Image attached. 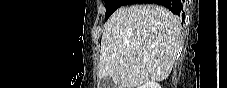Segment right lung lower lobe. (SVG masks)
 I'll use <instances>...</instances> for the list:
<instances>
[{"label": "right lung lower lobe", "instance_id": "98d812e1", "mask_svg": "<svg viewBox=\"0 0 227 88\" xmlns=\"http://www.w3.org/2000/svg\"><path fill=\"white\" fill-rule=\"evenodd\" d=\"M183 2L184 0H131V3H155L163 5L173 14H182V18L184 19Z\"/></svg>", "mask_w": 227, "mask_h": 88}]
</instances>
